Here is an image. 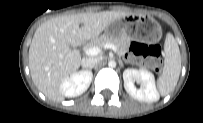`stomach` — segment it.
I'll list each match as a JSON object with an SVG mask.
<instances>
[{
	"label": "stomach",
	"instance_id": "1",
	"mask_svg": "<svg viewBox=\"0 0 203 123\" xmlns=\"http://www.w3.org/2000/svg\"><path fill=\"white\" fill-rule=\"evenodd\" d=\"M106 34L112 36L124 35L131 40L142 39L149 43H156L160 40L162 31L160 25L153 18L140 15L138 18L134 17L132 21L112 23L106 28Z\"/></svg>",
	"mask_w": 203,
	"mask_h": 123
}]
</instances>
